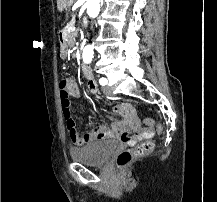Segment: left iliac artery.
<instances>
[{
  "label": "left iliac artery",
  "instance_id": "1",
  "mask_svg": "<svg viewBox=\"0 0 217 202\" xmlns=\"http://www.w3.org/2000/svg\"><path fill=\"white\" fill-rule=\"evenodd\" d=\"M99 83H100L102 86H104V85L107 84V79H106V78H101V79L99 80Z\"/></svg>",
  "mask_w": 217,
  "mask_h": 202
}]
</instances>
